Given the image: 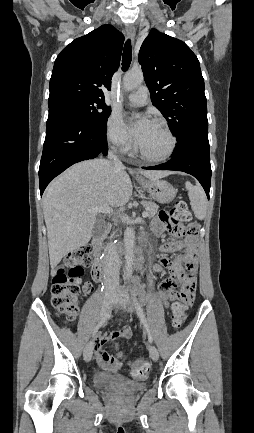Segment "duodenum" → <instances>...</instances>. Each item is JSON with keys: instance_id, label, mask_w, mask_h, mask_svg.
Returning a JSON list of instances; mask_svg holds the SVG:
<instances>
[{"instance_id": "duodenum-1", "label": "duodenum", "mask_w": 254, "mask_h": 433, "mask_svg": "<svg viewBox=\"0 0 254 433\" xmlns=\"http://www.w3.org/2000/svg\"><path fill=\"white\" fill-rule=\"evenodd\" d=\"M92 245L95 253V260L92 265L91 273L96 280H101L104 275V266H105L104 260L101 257L102 247L99 240H94Z\"/></svg>"}]
</instances>
